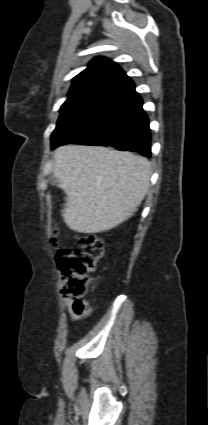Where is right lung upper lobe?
Wrapping results in <instances>:
<instances>
[{
    "label": "right lung upper lobe",
    "instance_id": "obj_1",
    "mask_svg": "<svg viewBox=\"0 0 208 425\" xmlns=\"http://www.w3.org/2000/svg\"><path fill=\"white\" fill-rule=\"evenodd\" d=\"M124 74V71L112 60L93 59L88 67L72 81L68 95L81 92H101Z\"/></svg>",
    "mask_w": 208,
    "mask_h": 425
}]
</instances>
